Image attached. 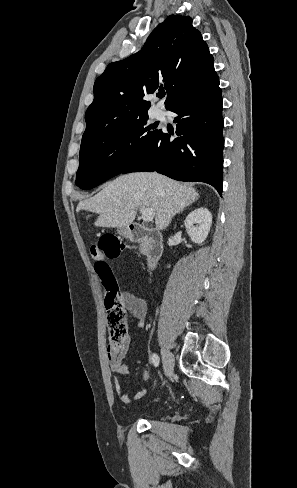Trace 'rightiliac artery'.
Wrapping results in <instances>:
<instances>
[{"label":"right iliac artery","mask_w":297,"mask_h":488,"mask_svg":"<svg viewBox=\"0 0 297 488\" xmlns=\"http://www.w3.org/2000/svg\"><path fill=\"white\" fill-rule=\"evenodd\" d=\"M151 362L155 367L159 366L160 359L157 354H152L151 356Z\"/></svg>","instance_id":"right-iliac-artery-1"}]
</instances>
